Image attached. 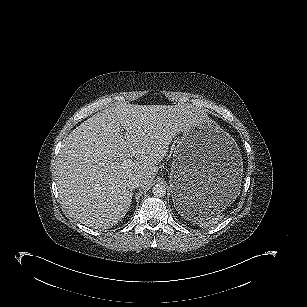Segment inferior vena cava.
Returning a JSON list of instances; mask_svg holds the SVG:
<instances>
[{
	"label": "inferior vena cava",
	"instance_id": "602c4592",
	"mask_svg": "<svg viewBox=\"0 0 307 307\" xmlns=\"http://www.w3.org/2000/svg\"><path fill=\"white\" fill-rule=\"evenodd\" d=\"M141 185H142V181L140 179L134 178L128 182L127 187L128 189L133 190V189L141 187Z\"/></svg>",
	"mask_w": 307,
	"mask_h": 307
}]
</instances>
